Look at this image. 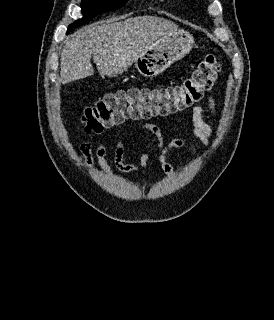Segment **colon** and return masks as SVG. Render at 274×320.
Wrapping results in <instances>:
<instances>
[{
	"instance_id": "1",
	"label": "colon",
	"mask_w": 274,
	"mask_h": 320,
	"mask_svg": "<svg viewBox=\"0 0 274 320\" xmlns=\"http://www.w3.org/2000/svg\"><path fill=\"white\" fill-rule=\"evenodd\" d=\"M221 66L215 54H207L192 75L166 87L127 88L107 93L84 108L81 120L90 133H101L127 120L164 116L183 110L203 99Z\"/></svg>"
}]
</instances>
